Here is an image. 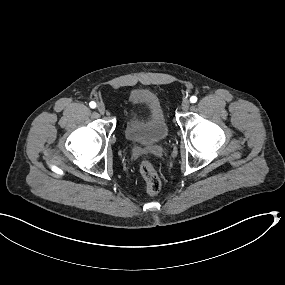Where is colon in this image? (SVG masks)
<instances>
[{"mask_svg":"<svg viewBox=\"0 0 285 285\" xmlns=\"http://www.w3.org/2000/svg\"><path fill=\"white\" fill-rule=\"evenodd\" d=\"M140 172L145 181L146 193L149 195L157 194L161 188V181L153 163L149 160H144L140 165Z\"/></svg>","mask_w":285,"mask_h":285,"instance_id":"obj_1","label":"colon"}]
</instances>
